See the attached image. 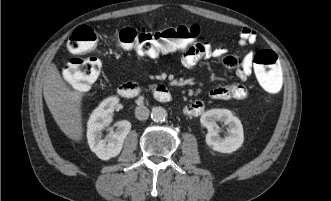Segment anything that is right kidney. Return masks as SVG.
Here are the masks:
<instances>
[{"label":"right kidney","instance_id":"1","mask_svg":"<svg viewBox=\"0 0 331 201\" xmlns=\"http://www.w3.org/2000/svg\"><path fill=\"white\" fill-rule=\"evenodd\" d=\"M118 102V97L106 98L92 112L87 122L89 147L102 160H109L121 152L124 140L131 130L129 121H118L116 131L108 138H102V131L109 125L108 116L114 111Z\"/></svg>","mask_w":331,"mask_h":201}]
</instances>
